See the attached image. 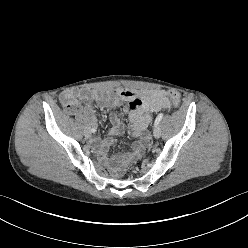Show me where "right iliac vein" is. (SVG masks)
<instances>
[{
  "label": "right iliac vein",
  "instance_id": "obj_1",
  "mask_svg": "<svg viewBox=\"0 0 248 248\" xmlns=\"http://www.w3.org/2000/svg\"><path fill=\"white\" fill-rule=\"evenodd\" d=\"M84 135H85L86 137H90V136H91V131H90L89 128H86V129L84 130Z\"/></svg>",
  "mask_w": 248,
  "mask_h": 248
}]
</instances>
